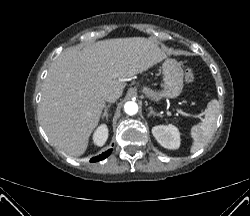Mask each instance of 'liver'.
I'll list each match as a JSON object with an SVG mask.
<instances>
[{
  "mask_svg": "<svg viewBox=\"0 0 250 216\" xmlns=\"http://www.w3.org/2000/svg\"><path fill=\"white\" fill-rule=\"evenodd\" d=\"M166 58L149 38H116L63 51L43 84L40 123L50 142L68 155H82L105 108L104 94L124 90L128 79Z\"/></svg>",
  "mask_w": 250,
  "mask_h": 216,
  "instance_id": "liver-1",
  "label": "liver"
}]
</instances>
